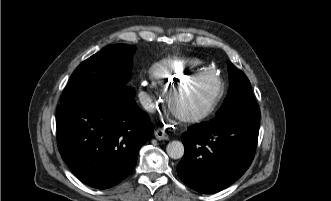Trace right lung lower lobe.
<instances>
[{"mask_svg":"<svg viewBox=\"0 0 331 201\" xmlns=\"http://www.w3.org/2000/svg\"><path fill=\"white\" fill-rule=\"evenodd\" d=\"M134 96L132 87L112 88L57 109L59 151L85 184L107 189L121 182L152 137L154 126Z\"/></svg>","mask_w":331,"mask_h":201,"instance_id":"right-lung-lower-lobe-1","label":"right lung lower lobe"}]
</instances>
